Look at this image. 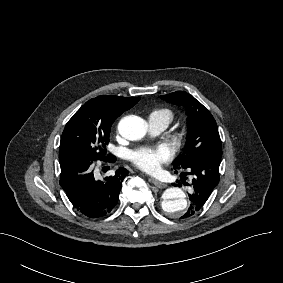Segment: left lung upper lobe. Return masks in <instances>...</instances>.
Returning a JSON list of instances; mask_svg holds the SVG:
<instances>
[{
	"label": "left lung upper lobe",
	"mask_w": 283,
	"mask_h": 283,
	"mask_svg": "<svg viewBox=\"0 0 283 283\" xmlns=\"http://www.w3.org/2000/svg\"><path fill=\"white\" fill-rule=\"evenodd\" d=\"M161 98L185 107L188 113L186 145L183 153L174 161V166L186 168L204 155H222V143L216 121L198 100L185 91L170 93Z\"/></svg>",
	"instance_id": "left-lung-upper-lobe-1"
}]
</instances>
